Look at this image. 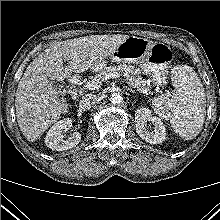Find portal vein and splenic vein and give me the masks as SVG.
I'll use <instances>...</instances> for the list:
<instances>
[{
  "label": "portal vein and splenic vein",
  "instance_id": "18ae733b",
  "mask_svg": "<svg viewBox=\"0 0 220 220\" xmlns=\"http://www.w3.org/2000/svg\"><path fill=\"white\" fill-rule=\"evenodd\" d=\"M120 74L119 73H115V72H111L109 74L106 75L105 80L110 79V78H119ZM101 84V81L96 80V79H92L91 81H88L87 83L84 84V88L88 89V90H95V89H99ZM139 91L143 92V93H147V89H140ZM170 96V93L168 92L167 97Z\"/></svg>",
  "mask_w": 220,
  "mask_h": 220
}]
</instances>
